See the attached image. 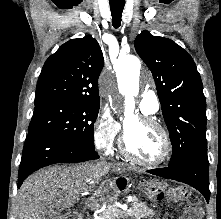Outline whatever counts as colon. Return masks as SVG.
<instances>
[{"label":"colon","mask_w":221,"mask_h":219,"mask_svg":"<svg viewBox=\"0 0 221 219\" xmlns=\"http://www.w3.org/2000/svg\"><path fill=\"white\" fill-rule=\"evenodd\" d=\"M179 196H186L187 191L179 190L177 191ZM63 219H82L80 214L77 212H71L63 217ZM181 219H203V213L200 207L191 205L188 206L182 215Z\"/></svg>","instance_id":"colon-1"}]
</instances>
